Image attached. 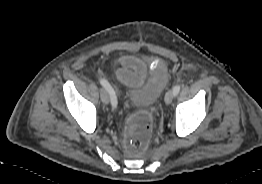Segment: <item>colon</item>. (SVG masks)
Listing matches in <instances>:
<instances>
[{
  "label": "colon",
  "instance_id": "obj_1",
  "mask_svg": "<svg viewBox=\"0 0 262 184\" xmlns=\"http://www.w3.org/2000/svg\"><path fill=\"white\" fill-rule=\"evenodd\" d=\"M152 118L148 113H137L129 122L127 149L132 154L142 153L148 144Z\"/></svg>",
  "mask_w": 262,
  "mask_h": 184
}]
</instances>
